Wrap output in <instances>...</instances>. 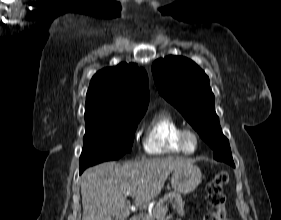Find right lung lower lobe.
<instances>
[{
    "label": "right lung lower lobe",
    "mask_w": 281,
    "mask_h": 220,
    "mask_svg": "<svg viewBox=\"0 0 281 220\" xmlns=\"http://www.w3.org/2000/svg\"><path fill=\"white\" fill-rule=\"evenodd\" d=\"M84 170H80V174L83 172Z\"/></svg>",
    "instance_id": "obj_1"
}]
</instances>
